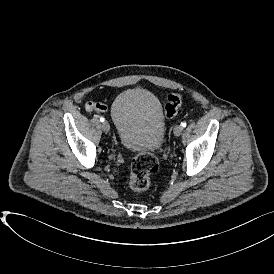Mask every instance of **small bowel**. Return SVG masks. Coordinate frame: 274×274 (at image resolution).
<instances>
[{
	"label": "small bowel",
	"instance_id": "1",
	"mask_svg": "<svg viewBox=\"0 0 274 274\" xmlns=\"http://www.w3.org/2000/svg\"><path fill=\"white\" fill-rule=\"evenodd\" d=\"M99 105H100V109L99 110H97V111H99V112H105L106 111V106L104 105V104H102V103H98ZM87 105V104H86ZM86 107V106H85ZM86 110H87V108H86ZM88 111V110H87Z\"/></svg>",
	"mask_w": 274,
	"mask_h": 274
}]
</instances>
